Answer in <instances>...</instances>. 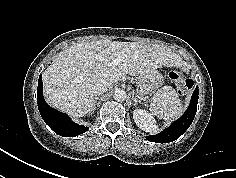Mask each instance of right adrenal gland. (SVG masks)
Returning <instances> with one entry per match:
<instances>
[{"mask_svg": "<svg viewBox=\"0 0 236 178\" xmlns=\"http://www.w3.org/2000/svg\"><path fill=\"white\" fill-rule=\"evenodd\" d=\"M98 99H99V97H95L94 104H93V107L91 109L92 112H94L95 105H96Z\"/></svg>", "mask_w": 236, "mask_h": 178, "instance_id": "right-adrenal-gland-1", "label": "right adrenal gland"}]
</instances>
